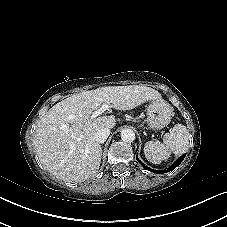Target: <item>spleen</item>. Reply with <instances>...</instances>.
<instances>
[{"label": "spleen", "instance_id": "spleen-1", "mask_svg": "<svg viewBox=\"0 0 227 227\" xmlns=\"http://www.w3.org/2000/svg\"><path fill=\"white\" fill-rule=\"evenodd\" d=\"M189 132L186 126L176 124L163 137V143L148 141L144 145L146 159L153 164L168 161L171 153L180 155L188 150Z\"/></svg>", "mask_w": 227, "mask_h": 227}]
</instances>
